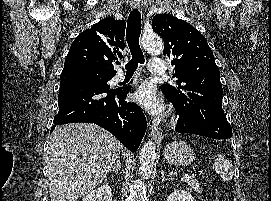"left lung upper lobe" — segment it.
<instances>
[{
	"label": "left lung upper lobe",
	"mask_w": 271,
	"mask_h": 201,
	"mask_svg": "<svg viewBox=\"0 0 271 201\" xmlns=\"http://www.w3.org/2000/svg\"><path fill=\"white\" fill-rule=\"evenodd\" d=\"M152 28L162 37L164 55L175 68V86L166 84L161 89L180 114L179 123L203 136L230 138L220 72L206 38L186 21L166 14L154 16Z\"/></svg>",
	"instance_id": "obj_1"
}]
</instances>
